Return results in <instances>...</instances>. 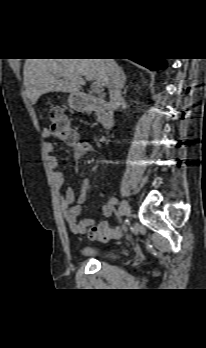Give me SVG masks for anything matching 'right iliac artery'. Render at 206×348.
I'll return each instance as SVG.
<instances>
[{
  "mask_svg": "<svg viewBox=\"0 0 206 348\" xmlns=\"http://www.w3.org/2000/svg\"><path fill=\"white\" fill-rule=\"evenodd\" d=\"M110 203L111 204H117V199L113 198V197H110Z\"/></svg>",
  "mask_w": 206,
  "mask_h": 348,
  "instance_id": "1",
  "label": "right iliac artery"
}]
</instances>
